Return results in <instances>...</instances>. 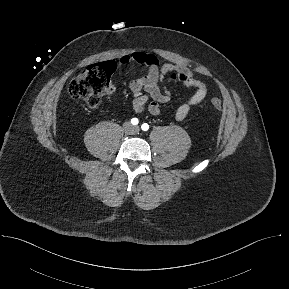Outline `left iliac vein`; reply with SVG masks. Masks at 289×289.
I'll return each mask as SVG.
<instances>
[{"mask_svg":"<svg viewBox=\"0 0 289 289\" xmlns=\"http://www.w3.org/2000/svg\"><path fill=\"white\" fill-rule=\"evenodd\" d=\"M134 129H135L136 131H138V130H139V127H138V126H136Z\"/></svg>","mask_w":289,"mask_h":289,"instance_id":"1","label":"left iliac vein"}]
</instances>
